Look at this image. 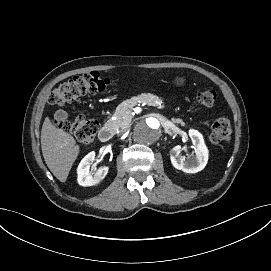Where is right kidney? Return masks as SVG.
Returning <instances> with one entry per match:
<instances>
[{
    "label": "right kidney",
    "mask_w": 271,
    "mask_h": 271,
    "mask_svg": "<svg viewBox=\"0 0 271 271\" xmlns=\"http://www.w3.org/2000/svg\"><path fill=\"white\" fill-rule=\"evenodd\" d=\"M95 159V152L92 151L88 153L80 162L77 168V181L81 186H93L102 181L106 174L108 173V167H100L94 173L89 171L90 162H93Z\"/></svg>",
    "instance_id": "right-kidney-1"
}]
</instances>
